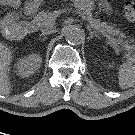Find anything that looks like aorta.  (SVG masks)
Returning <instances> with one entry per match:
<instances>
[{
    "instance_id": "1",
    "label": "aorta",
    "mask_w": 135,
    "mask_h": 135,
    "mask_svg": "<svg viewBox=\"0 0 135 135\" xmlns=\"http://www.w3.org/2000/svg\"><path fill=\"white\" fill-rule=\"evenodd\" d=\"M65 39L68 43L78 45L84 40V32L76 26H67L64 31Z\"/></svg>"
}]
</instances>
